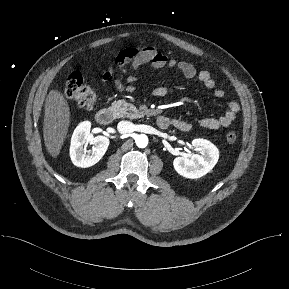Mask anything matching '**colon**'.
I'll use <instances>...</instances> for the list:
<instances>
[{"mask_svg": "<svg viewBox=\"0 0 289 289\" xmlns=\"http://www.w3.org/2000/svg\"><path fill=\"white\" fill-rule=\"evenodd\" d=\"M63 93L65 97L72 99L83 108L91 109L96 102L94 91L84 82L82 74L78 71L73 72L68 77ZM237 140V135L234 132L226 134V141L229 144H234Z\"/></svg>", "mask_w": 289, "mask_h": 289, "instance_id": "colon-1", "label": "colon"}]
</instances>
